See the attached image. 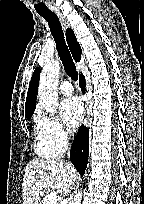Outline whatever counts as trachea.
<instances>
[{
	"mask_svg": "<svg viewBox=\"0 0 144 204\" xmlns=\"http://www.w3.org/2000/svg\"><path fill=\"white\" fill-rule=\"evenodd\" d=\"M40 16L43 17L49 25L50 31L56 43V48L62 61L65 72L72 80L78 79V72L76 66L73 62L69 49L65 43L64 33L62 30L61 23L57 15L53 12L40 13Z\"/></svg>",
	"mask_w": 144,
	"mask_h": 204,
	"instance_id": "obj_1",
	"label": "trachea"
}]
</instances>
